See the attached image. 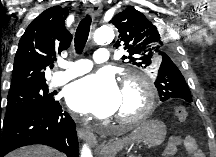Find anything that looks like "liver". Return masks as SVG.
I'll use <instances>...</instances> for the list:
<instances>
[{
  "instance_id": "obj_1",
  "label": "liver",
  "mask_w": 216,
  "mask_h": 157,
  "mask_svg": "<svg viewBox=\"0 0 216 157\" xmlns=\"http://www.w3.org/2000/svg\"><path fill=\"white\" fill-rule=\"evenodd\" d=\"M7 157H63V154L44 145H31L13 151Z\"/></svg>"
}]
</instances>
